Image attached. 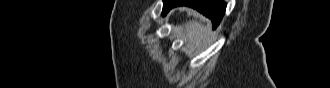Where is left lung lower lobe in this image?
<instances>
[{"mask_svg":"<svg viewBox=\"0 0 330 88\" xmlns=\"http://www.w3.org/2000/svg\"><path fill=\"white\" fill-rule=\"evenodd\" d=\"M179 5L195 8L210 18L213 28L219 25L226 9V3L223 0H163L162 15L167 14L171 8Z\"/></svg>","mask_w":330,"mask_h":88,"instance_id":"left-lung-lower-lobe-1","label":"left lung lower lobe"}]
</instances>
